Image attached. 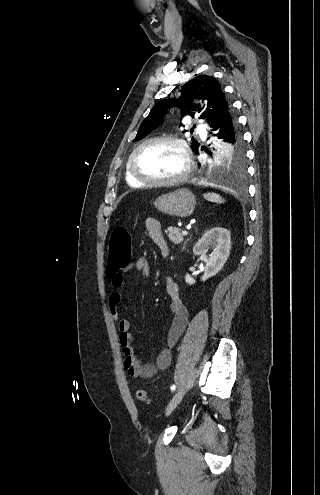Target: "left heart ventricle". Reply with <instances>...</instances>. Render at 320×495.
<instances>
[{
  "label": "left heart ventricle",
  "instance_id": "b2bd125f",
  "mask_svg": "<svg viewBox=\"0 0 320 495\" xmlns=\"http://www.w3.org/2000/svg\"><path fill=\"white\" fill-rule=\"evenodd\" d=\"M184 167L180 150L169 142H154L143 147L136 156L138 172L150 179H170Z\"/></svg>",
  "mask_w": 320,
  "mask_h": 495
}]
</instances>
